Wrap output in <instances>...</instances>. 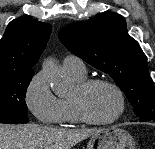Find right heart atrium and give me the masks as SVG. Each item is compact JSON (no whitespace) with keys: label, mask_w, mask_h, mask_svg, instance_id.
<instances>
[{"label":"right heart atrium","mask_w":155,"mask_h":149,"mask_svg":"<svg viewBox=\"0 0 155 149\" xmlns=\"http://www.w3.org/2000/svg\"><path fill=\"white\" fill-rule=\"evenodd\" d=\"M25 103L39 122L48 125L62 122V100L51 91L43 72L35 74L28 83L25 90Z\"/></svg>","instance_id":"obj_1"}]
</instances>
